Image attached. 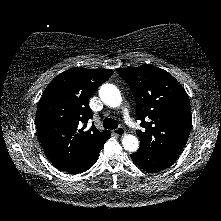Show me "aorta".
Returning a JSON list of instances; mask_svg holds the SVG:
<instances>
[{
    "label": "aorta",
    "instance_id": "obj_1",
    "mask_svg": "<svg viewBox=\"0 0 221 221\" xmlns=\"http://www.w3.org/2000/svg\"><path fill=\"white\" fill-rule=\"evenodd\" d=\"M99 97L107 106L116 108L121 105L122 96L119 89L113 84H103L99 90ZM122 145L125 150L134 152L139 147L138 139L133 135H125L122 139Z\"/></svg>",
    "mask_w": 221,
    "mask_h": 221
}]
</instances>
